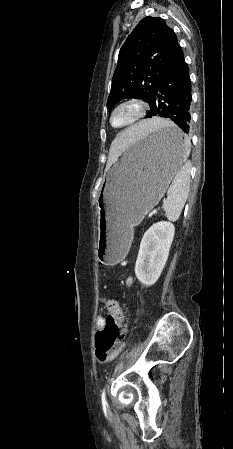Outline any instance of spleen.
I'll return each instance as SVG.
<instances>
[{
    "mask_svg": "<svg viewBox=\"0 0 233 449\" xmlns=\"http://www.w3.org/2000/svg\"><path fill=\"white\" fill-rule=\"evenodd\" d=\"M170 124H172L170 122ZM168 127V125H167ZM190 143H187V151L185 157L189 154ZM190 190V165L184 160L179 167L172 184L167 191V198L163 202V209L166 217L170 221H176L183 210Z\"/></svg>",
    "mask_w": 233,
    "mask_h": 449,
    "instance_id": "spleen-1",
    "label": "spleen"
}]
</instances>
